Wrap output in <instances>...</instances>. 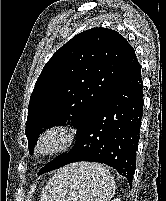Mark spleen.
<instances>
[{"label":"spleen","mask_w":166,"mask_h":201,"mask_svg":"<svg viewBox=\"0 0 166 201\" xmlns=\"http://www.w3.org/2000/svg\"><path fill=\"white\" fill-rule=\"evenodd\" d=\"M115 182L106 167L77 162L56 172L42 191L41 201H109Z\"/></svg>","instance_id":"3e777b00"}]
</instances>
